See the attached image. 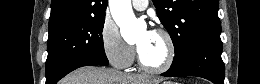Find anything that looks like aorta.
Wrapping results in <instances>:
<instances>
[{
    "label": "aorta",
    "instance_id": "762f6f07",
    "mask_svg": "<svg viewBox=\"0 0 260 84\" xmlns=\"http://www.w3.org/2000/svg\"><path fill=\"white\" fill-rule=\"evenodd\" d=\"M109 7L122 37L127 42L136 40L143 25L138 22L133 13L131 0H109Z\"/></svg>",
    "mask_w": 260,
    "mask_h": 84
}]
</instances>
